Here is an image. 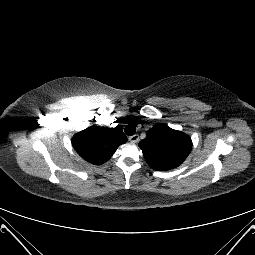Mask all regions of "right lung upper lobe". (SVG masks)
I'll use <instances>...</instances> for the list:
<instances>
[{"mask_svg": "<svg viewBox=\"0 0 255 255\" xmlns=\"http://www.w3.org/2000/svg\"><path fill=\"white\" fill-rule=\"evenodd\" d=\"M122 129L91 126L76 133L72 145L87 162L100 165L111 158L119 145L126 143Z\"/></svg>", "mask_w": 255, "mask_h": 255, "instance_id": "right-lung-upper-lobe-1", "label": "right lung upper lobe"}]
</instances>
